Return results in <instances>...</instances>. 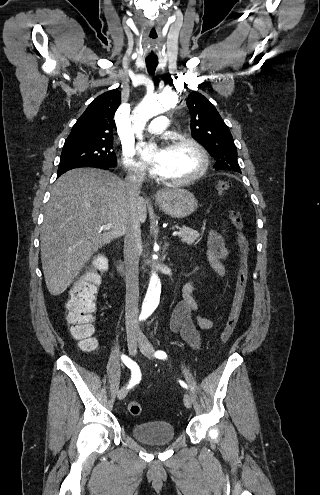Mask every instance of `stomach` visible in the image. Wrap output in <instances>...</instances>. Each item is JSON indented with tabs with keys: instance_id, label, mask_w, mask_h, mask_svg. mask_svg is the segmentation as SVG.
I'll return each instance as SVG.
<instances>
[{
	"instance_id": "obj_1",
	"label": "stomach",
	"mask_w": 320,
	"mask_h": 495,
	"mask_svg": "<svg viewBox=\"0 0 320 495\" xmlns=\"http://www.w3.org/2000/svg\"><path fill=\"white\" fill-rule=\"evenodd\" d=\"M156 203L162 211L174 218L187 217L198 207V201L191 192L178 188L163 191Z\"/></svg>"
}]
</instances>
